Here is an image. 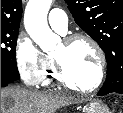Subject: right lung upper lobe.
I'll list each match as a JSON object with an SVG mask.
<instances>
[{
    "label": "right lung upper lobe",
    "mask_w": 123,
    "mask_h": 113,
    "mask_svg": "<svg viewBox=\"0 0 123 113\" xmlns=\"http://www.w3.org/2000/svg\"><path fill=\"white\" fill-rule=\"evenodd\" d=\"M21 15V0H1V31L19 30Z\"/></svg>",
    "instance_id": "cb5924a9"
}]
</instances>
